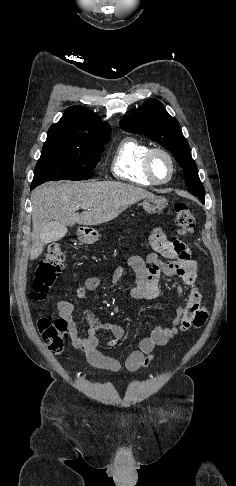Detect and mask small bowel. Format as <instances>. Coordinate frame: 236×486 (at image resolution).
<instances>
[{
	"label": "small bowel",
	"mask_w": 236,
	"mask_h": 486,
	"mask_svg": "<svg viewBox=\"0 0 236 486\" xmlns=\"http://www.w3.org/2000/svg\"><path fill=\"white\" fill-rule=\"evenodd\" d=\"M149 246L154 252L143 259L139 255L131 256L128 264L135 273V285L129 293L136 299H155L160 295L159 280L162 274L178 277L181 280L177 287V298L180 305L176 308L175 318L170 326L158 325L153 328L149 336L140 338L138 349L126 358L124 364L119 360L106 356L98 350L101 331L113 335L108 344L115 346L117 341L124 337L125 329L122 325L102 322L90 310L84 309L82 315L87 323V332L81 335L74 318V306L65 300L57 304L61 319L66 322L67 331L75 349L82 351L88 362L95 368L111 372H119L123 367L130 372L146 368L155 356V348L164 346L179 332L190 328H200L208 318V313L202 305V296L196 287L197 264L191 258L189 249L178 240H169L163 228H157L151 234ZM159 255L167 260L160 259ZM123 269L117 268L112 277V284H116L123 276ZM102 280L98 277H89L84 282V290L94 291L100 288ZM184 286L190 288L185 293Z\"/></svg>",
	"instance_id": "c3829d8e"
}]
</instances>
